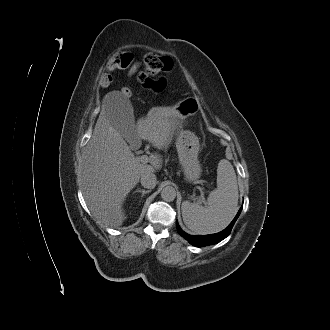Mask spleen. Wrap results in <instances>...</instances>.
<instances>
[{"label": "spleen", "instance_id": "spleen-1", "mask_svg": "<svg viewBox=\"0 0 330 330\" xmlns=\"http://www.w3.org/2000/svg\"><path fill=\"white\" fill-rule=\"evenodd\" d=\"M237 177L232 164L222 159L217 167V188L213 190L204 206L199 203L182 202L181 210L185 225L197 234H212L223 230L238 210Z\"/></svg>", "mask_w": 330, "mask_h": 330}]
</instances>
